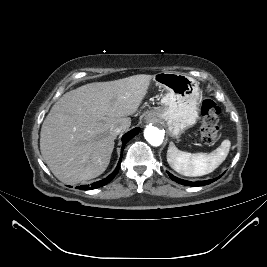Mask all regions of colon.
I'll return each instance as SVG.
<instances>
[{
	"mask_svg": "<svg viewBox=\"0 0 267 267\" xmlns=\"http://www.w3.org/2000/svg\"><path fill=\"white\" fill-rule=\"evenodd\" d=\"M220 108L212 99H205L201 105L203 122L200 128V135L203 142L211 144L219 136L218 116Z\"/></svg>",
	"mask_w": 267,
	"mask_h": 267,
	"instance_id": "1",
	"label": "colon"
}]
</instances>
